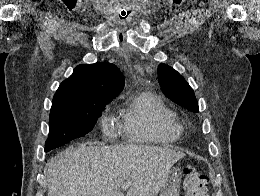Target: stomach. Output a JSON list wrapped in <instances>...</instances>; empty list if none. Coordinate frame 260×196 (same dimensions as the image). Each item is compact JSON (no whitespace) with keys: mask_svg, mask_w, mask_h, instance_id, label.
I'll list each match as a JSON object with an SVG mask.
<instances>
[{"mask_svg":"<svg viewBox=\"0 0 260 196\" xmlns=\"http://www.w3.org/2000/svg\"><path fill=\"white\" fill-rule=\"evenodd\" d=\"M181 178V170L171 168L163 186H161L160 196H179Z\"/></svg>","mask_w":260,"mask_h":196,"instance_id":"obj_1","label":"stomach"}]
</instances>
